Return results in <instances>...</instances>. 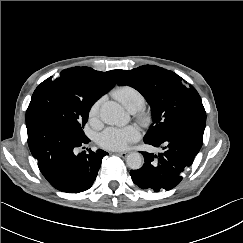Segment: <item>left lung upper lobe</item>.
<instances>
[{
	"label": "left lung upper lobe",
	"mask_w": 243,
	"mask_h": 243,
	"mask_svg": "<svg viewBox=\"0 0 243 243\" xmlns=\"http://www.w3.org/2000/svg\"><path fill=\"white\" fill-rule=\"evenodd\" d=\"M118 85H128L139 91L149 103L153 123L144 141H157L179 120L194 114H205L196 89L187 87L172 71L144 65L125 70Z\"/></svg>",
	"instance_id": "obj_1"
}]
</instances>
